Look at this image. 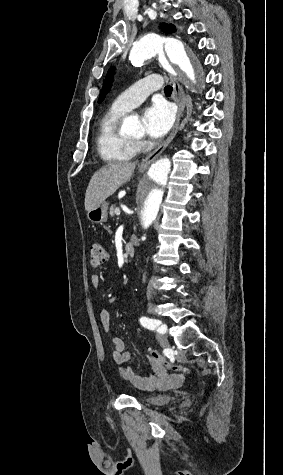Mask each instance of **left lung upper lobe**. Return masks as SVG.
Masks as SVG:
<instances>
[{
    "label": "left lung upper lobe",
    "mask_w": 283,
    "mask_h": 475,
    "mask_svg": "<svg viewBox=\"0 0 283 475\" xmlns=\"http://www.w3.org/2000/svg\"><path fill=\"white\" fill-rule=\"evenodd\" d=\"M160 28L165 33H171V32H174L175 30V27L172 24H165V23L161 24ZM114 73H115V68L114 67L110 68L107 73V77L103 83V88L100 91L98 102L103 101L104 98L106 97V94L110 91L111 77H113Z\"/></svg>",
    "instance_id": "5c2ea615"
}]
</instances>
